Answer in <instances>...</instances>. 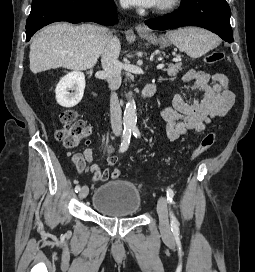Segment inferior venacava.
I'll use <instances>...</instances> for the list:
<instances>
[{
    "label": "inferior vena cava",
    "instance_id": "inferior-vena-cava-1",
    "mask_svg": "<svg viewBox=\"0 0 255 272\" xmlns=\"http://www.w3.org/2000/svg\"><path fill=\"white\" fill-rule=\"evenodd\" d=\"M121 6L123 8L128 7L123 1L121 2ZM120 49L119 39L116 36L111 37L109 43L103 50L101 57L102 67L107 78L109 89L111 90L110 119L112 131L116 135H120L122 132V110L118 96L115 92L121 85L122 64L118 60Z\"/></svg>",
    "mask_w": 255,
    "mask_h": 272
}]
</instances>
